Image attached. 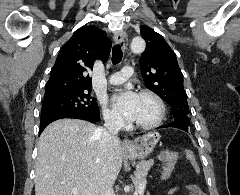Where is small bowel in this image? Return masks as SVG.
Wrapping results in <instances>:
<instances>
[{
  "label": "small bowel",
  "mask_w": 240,
  "mask_h": 195,
  "mask_svg": "<svg viewBox=\"0 0 240 195\" xmlns=\"http://www.w3.org/2000/svg\"><path fill=\"white\" fill-rule=\"evenodd\" d=\"M194 188H200L196 183H190L186 186V192L189 194V195H206L205 192H203L201 190L200 193H194L193 192V189ZM201 189V188H200ZM177 192V188L173 187V188H170L166 191L165 195H175Z\"/></svg>",
  "instance_id": "c3829d8e"
}]
</instances>
